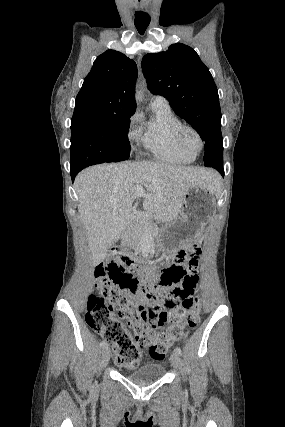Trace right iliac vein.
<instances>
[{
  "mask_svg": "<svg viewBox=\"0 0 285 427\" xmlns=\"http://www.w3.org/2000/svg\"><path fill=\"white\" fill-rule=\"evenodd\" d=\"M110 356H111L110 348H109L108 346H106V347L103 349V352H102L103 364H104V365H107V364H108L109 359H110Z\"/></svg>",
  "mask_w": 285,
  "mask_h": 427,
  "instance_id": "right-iliac-vein-1",
  "label": "right iliac vein"
}]
</instances>
